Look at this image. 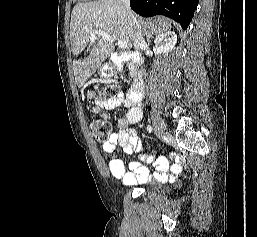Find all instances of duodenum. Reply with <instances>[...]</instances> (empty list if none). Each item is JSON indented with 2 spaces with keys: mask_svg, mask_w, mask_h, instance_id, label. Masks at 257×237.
<instances>
[{
  "mask_svg": "<svg viewBox=\"0 0 257 237\" xmlns=\"http://www.w3.org/2000/svg\"><path fill=\"white\" fill-rule=\"evenodd\" d=\"M125 62H131L135 65H141L143 59L140 54L136 52H122L114 59L113 68L120 69ZM128 99L132 102H139L143 97V77L138 75L127 91Z\"/></svg>",
  "mask_w": 257,
  "mask_h": 237,
  "instance_id": "1",
  "label": "duodenum"
}]
</instances>
